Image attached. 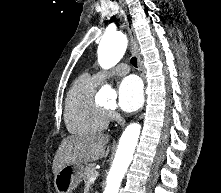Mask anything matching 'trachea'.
Wrapping results in <instances>:
<instances>
[{
  "label": "trachea",
  "mask_w": 221,
  "mask_h": 193,
  "mask_svg": "<svg viewBox=\"0 0 221 193\" xmlns=\"http://www.w3.org/2000/svg\"><path fill=\"white\" fill-rule=\"evenodd\" d=\"M131 64H132L134 67H137V58H136V57H132V59H131Z\"/></svg>",
  "instance_id": "1"
}]
</instances>
